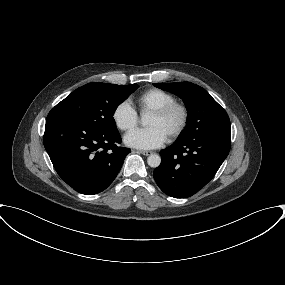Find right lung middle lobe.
I'll return each instance as SVG.
<instances>
[{
  "mask_svg": "<svg viewBox=\"0 0 285 285\" xmlns=\"http://www.w3.org/2000/svg\"><path fill=\"white\" fill-rule=\"evenodd\" d=\"M139 86L93 82L73 91L50 112L72 116L93 129L115 131L113 114Z\"/></svg>",
  "mask_w": 285,
  "mask_h": 285,
  "instance_id": "dd1d6c3e",
  "label": "right lung middle lobe"
}]
</instances>
